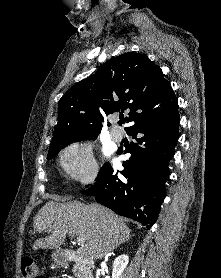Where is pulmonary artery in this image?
I'll use <instances>...</instances> for the list:
<instances>
[{
    "mask_svg": "<svg viewBox=\"0 0 221 278\" xmlns=\"http://www.w3.org/2000/svg\"><path fill=\"white\" fill-rule=\"evenodd\" d=\"M111 138L116 141V142H120L123 139V133L121 130H119L118 128H114L111 131Z\"/></svg>",
    "mask_w": 221,
    "mask_h": 278,
    "instance_id": "1",
    "label": "pulmonary artery"
}]
</instances>
